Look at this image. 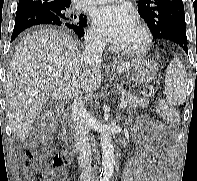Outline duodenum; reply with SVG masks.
<instances>
[{"instance_id":"410a0bca","label":"duodenum","mask_w":197,"mask_h":181,"mask_svg":"<svg viewBox=\"0 0 197 181\" xmlns=\"http://www.w3.org/2000/svg\"><path fill=\"white\" fill-rule=\"evenodd\" d=\"M69 141H70V139L68 140V142H69ZM123 144H124V141L121 142V145H123Z\"/></svg>"}]
</instances>
